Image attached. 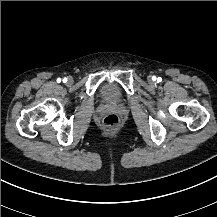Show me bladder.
Wrapping results in <instances>:
<instances>
[{"label":"bladder","instance_id":"bladder-1","mask_svg":"<svg viewBox=\"0 0 217 217\" xmlns=\"http://www.w3.org/2000/svg\"><path fill=\"white\" fill-rule=\"evenodd\" d=\"M101 92L103 96L109 101L115 98L114 86L111 83L104 84L101 88Z\"/></svg>","mask_w":217,"mask_h":217}]
</instances>
